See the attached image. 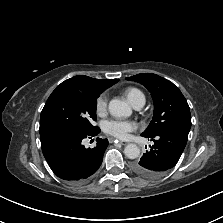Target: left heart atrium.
Instances as JSON below:
<instances>
[{
	"label": "left heart atrium",
	"instance_id": "obj_1",
	"mask_svg": "<svg viewBox=\"0 0 223 223\" xmlns=\"http://www.w3.org/2000/svg\"><path fill=\"white\" fill-rule=\"evenodd\" d=\"M135 128V123L130 120L111 119L103 124L104 132L118 139H126Z\"/></svg>",
	"mask_w": 223,
	"mask_h": 223
}]
</instances>
